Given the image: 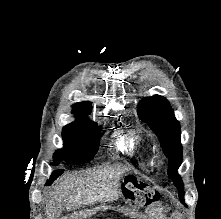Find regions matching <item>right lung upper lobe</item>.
<instances>
[{"label": "right lung upper lobe", "instance_id": "obj_1", "mask_svg": "<svg viewBox=\"0 0 221 219\" xmlns=\"http://www.w3.org/2000/svg\"><path fill=\"white\" fill-rule=\"evenodd\" d=\"M91 102L85 101L81 103H77L73 106V114L80 118V116L84 115L85 113L91 112ZM79 122H91L86 119L78 120Z\"/></svg>", "mask_w": 221, "mask_h": 219}]
</instances>
